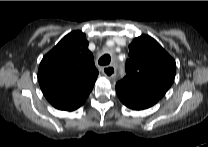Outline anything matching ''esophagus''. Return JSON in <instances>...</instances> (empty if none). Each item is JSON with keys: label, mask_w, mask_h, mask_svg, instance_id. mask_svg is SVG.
<instances>
[{"label": "esophagus", "mask_w": 208, "mask_h": 147, "mask_svg": "<svg viewBox=\"0 0 208 147\" xmlns=\"http://www.w3.org/2000/svg\"><path fill=\"white\" fill-rule=\"evenodd\" d=\"M102 72L106 77L110 79L114 78L116 75V69L113 65L103 67Z\"/></svg>", "instance_id": "1"}]
</instances>
